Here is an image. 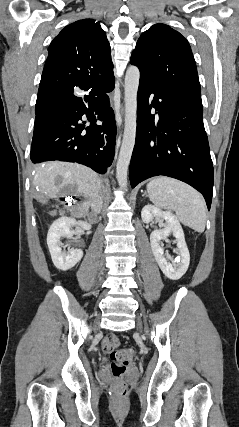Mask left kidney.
I'll list each match as a JSON object with an SVG mask.
<instances>
[{
	"label": "left kidney",
	"instance_id": "left-kidney-1",
	"mask_svg": "<svg viewBox=\"0 0 239 427\" xmlns=\"http://www.w3.org/2000/svg\"><path fill=\"white\" fill-rule=\"evenodd\" d=\"M156 217L165 220L166 224L163 229L154 230L150 234L153 255L164 275L171 280H178L186 273L190 263V254L185 242L183 229L172 212L163 211L150 204L143 207L141 218L144 223H149ZM170 234H173L176 238L180 254L179 258L172 263L166 260L164 249L160 244V241L165 240Z\"/></svg>",
	"mask_w": 239,
	"mask_h": 427
}]
</instances>
